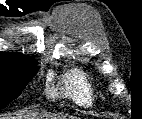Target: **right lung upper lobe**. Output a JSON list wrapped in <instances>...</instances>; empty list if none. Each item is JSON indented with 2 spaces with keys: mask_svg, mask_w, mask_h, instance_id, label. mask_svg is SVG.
Instances as JSON below:
<instances>
[{
  "mask_svg": "<svg viewBox=\"0 0 142 119\" xmlns=\"http://www.w3.org/2000/svg\"><path fill=\"white\" fill-rule=\"evenodd\" d=\"M33 64H35V62L25 55L10 52H0V68L2 69Z\"/></svg>",
  "mask_w": 142,
  "mask_h": 119,
  "instance_id": "obj_1",
  "label": "right lung upper lobe"
}]
</instances>
